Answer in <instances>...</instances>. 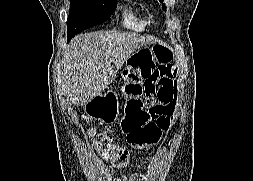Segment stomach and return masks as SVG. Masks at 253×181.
<instances>
[{
  "mask_svg": "<svg viewBox=\"0 0 253 181\" xmlns=\"http://www.w3.org/2000/svg\"><path fill=\"white\" fill-rule=\"evenodd\" d=\"M111 95L115 97L113 100H110ZM118 108L116 95L111 91L94 97L84 106L85 112L89 117L106 123L113 122L117 118Z\"/></svg>",
  "mask_w": 253,
  "mask_h": 181,
  "instance_id": "0dacf381",
  "label": "stomach"
}]
</instances>
